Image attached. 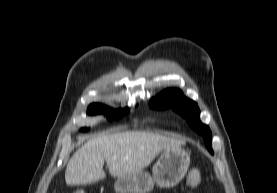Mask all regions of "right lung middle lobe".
<instances>
[{"mask_svg":"<svg viewBox=\"0 0 277 193\" xmlns=\"http://www.w3.org/2000/svg\"><path fill=\"white\" fill-rule=\"evenodd\" d=\"M107 112V119L108 120H117L120 117H122L123 115H125L126 113L129 112L128 108L125 109H117V110H113L110 108H107L103 105L100 104H92L88 107V114L90 115H94V114H100V113H105ZM82 131H87V128H82Z\"/></svg>","mask_w":277,"mask_h":193,"instance_id":"obj_1","label":"right lung middle lobe"}]
</instances>
